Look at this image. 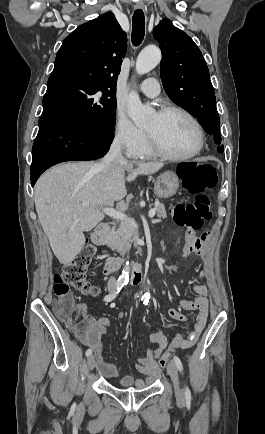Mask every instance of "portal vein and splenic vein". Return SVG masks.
Returning <instances> with one entry per match:
<instances>
[{"instance_id":"obj_1","label":"portal vein and splenic vein","mask_w":265,"mask_h":434,"mask_svg":"<svg viewBox=\"0 0 265 434\" xmlns=\"http://www.w3.org/2000/svg\"><path fill=\"white\" fill-rule=\"evenodd\" d=\"M83 206H89V202H82ZM104 214H107V216H110V218H116V220H124V222H129L133 228H138L134 218H128V216H125V214H122V212H117V210H114V208H104L103 210ZM156 214V208H153V210H149V218H153Z\"/></svg>"}]
</instances>
